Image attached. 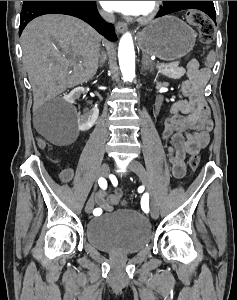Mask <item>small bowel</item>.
Segmentation results:
<instances>
[{
    "mask_svg": "<svg viewBox=\"0 0 237 300\" xmlns=\"http://www.w3.org/2000/svg\"><path fill=\"white\" fill-rule=\"evenodd\" d=\"M187 79L181 84V91L187 97L172 104L170 117L161 122V137L169 142L168 157L172 173L181 179L186 173V155L198 153L206 147L213 129L210 108L205 100V90L211 77L208 67H200L194 59L185 66ZM64 183L75 181L78 188H89L90 182L75 179V171L65 168L60 173ZM92 202L102 210H112L113 205L105 189H100L91 197Z\"/></svg>",
    "mask_w": 237,
    "mask_h": 300,
    "instance_id": "obj_1",
    "label": "small bowel"
}]
</instances>
